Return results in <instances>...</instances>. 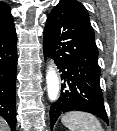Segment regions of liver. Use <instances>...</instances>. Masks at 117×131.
Here are the masks:
<instances>
[{
	"label": "liver",
	"instance_id": "liver-1",
	"mask_svg": "<svg viewBox=\"0 0 117 131\" xmlns=\"http://www.w3.org/2000/svg\"><path fill=\"white\" fill-rule=\"evenodd\" d=\"M8 127L6 125V123L4 122V120L2 118H0V131H7Z\"/></svg>",
	"mask_w": 117,
	"mask_h": 131
}]
</instances>
